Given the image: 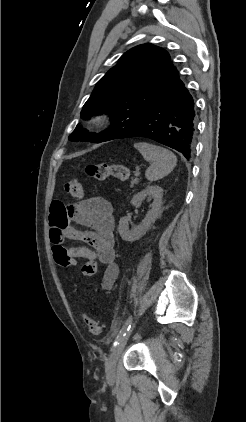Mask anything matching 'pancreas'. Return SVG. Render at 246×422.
Segmentation results:
<instances>
[{
  "instance_id": "pancreas-1",
  "label": "pancreas",
  "mask_w": 246,
  "mask_h": 422,
  "mask_svg": "<svg viewBox=\"0 0 246 422\" xmlns=\"http://www.w3.org/2000/svg\"><path fill=\"white\" fill-rule=\"evenodd\" d=\"M138 182H139L138 178L133 179L132 182H131V186H133L134 184H136Z\"/></svg>"
}]
</instances>
